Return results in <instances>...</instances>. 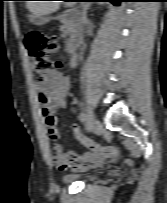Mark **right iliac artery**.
Listing matches in <instances>:
<instances>
[{"label": "right iliac artery", "instance_id": "1", "mask_svg": "<svg viewBox=\"0 0 167 203\" xmlns=\"http://www.w3.org/2000/svg\"><path fill=\"white\" fill-rule=\"evenodd\" d=\"M80 121L85 124L87 122V115L85 113L80 114Z\"/></svg>", "mask_w": 167, "mask_h": 203}]
</instances>
